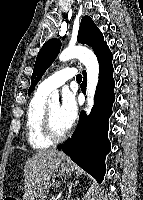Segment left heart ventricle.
I'll return each mask as SVG.
<instances>
[{"label":"left heart ventricle","mask_w":143,"mask_h":200,"mask_svg":"<svg viewBox=\"0 0 143 200\" xmlns=\"http://www.w3.org/2000/svg\"><path fill=\"white\" fill-rule=\"evenodd\" d=\"M50 118L52 129L56 134L64 133L68 128L63 123L59 115V105H51L49 106Z\"/></svg>","instance_id":"obj_1"}]
</instances>
